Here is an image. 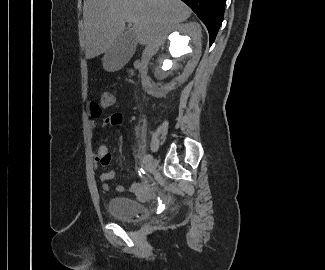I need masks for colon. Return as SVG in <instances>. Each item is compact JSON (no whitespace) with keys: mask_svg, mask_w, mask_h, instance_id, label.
<instances>
[{"mask_svg":"<svg viewBox=\"0 0 325 270\" xmlns=\"http://www.w3.org/2000/svg\"><path fill=\"white\" fill-rule=\"evenodd\" d=\"M100 102L104 107H111L115 103V96L111 92H104L101 96Z\"/></svg>","mask_w":325,"mask_h":270,"instance_id":"obj_1","label":"colon"}]
</instances>
